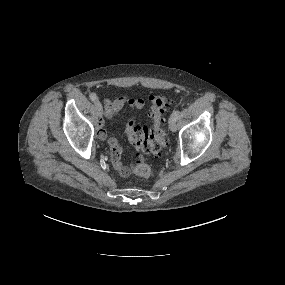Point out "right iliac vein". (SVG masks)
I'll list each match as a JSON object with an SVG mask.
<instances>
[{
    "mask_svg": "<svg viewBox=\"0 0 285 285\" xmlns=\"http://www.w3.org/2000/svg\"><path fill=\"white\" fill-rule=\"evenodd\" d=\"M94 104H95V108H96L98 114L101 115L102 111H103L101 103L99 101H95Z\"/></svg>",
    "mask_w": 285,
    "mask_h": 285,
    "instance_id": "63e3f726",
    "label": "right iliac vein"
}]
</instances>
